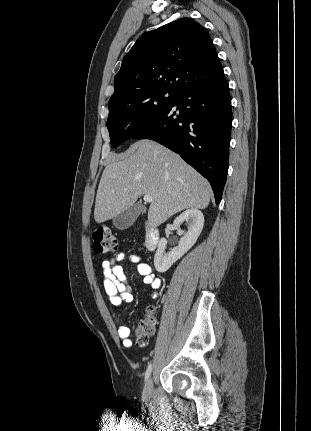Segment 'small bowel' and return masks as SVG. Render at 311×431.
<instances>
[{
	"label": "small bowel",
	"instance_id": "obj_1",
	"mask_svg": "<svg viewBox=\"0 0 311 431\" xmlns=\"http://www.w3.org/2000/svg\"><path fill=\"white\" fill-rule=\"evenodd\" d=\"M126 259H129L136 266V271L143 277L146 284L151 286V297L158 296L160 280L153 274L149 264L144 262L139 255L133 254L127 256L125 253H119L111 260L102 262V279L106 294L109 297L110 303L119 307L123 303H131L133 295L131 287L126 282V274L123 267L119 264ZM118 336L122 340L125 347H130L132 341L130 339L131 330L125 325H119Z\"/></svg>",
	"mask_w": 311,
	"mask_h": 431
}]
</instances>
